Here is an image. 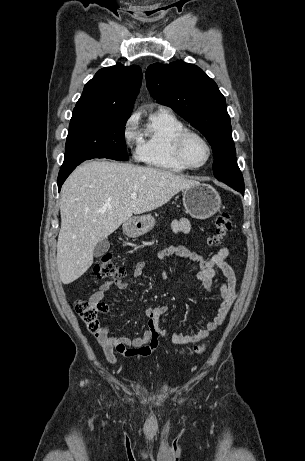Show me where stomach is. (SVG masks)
<instances>
[{"label":"stomach","mask_w":305,"mask_h":461,"mask_svg":"<svg viewBox=\"0 0 305 461\" xmlns=\"http://www.w3.org/2000/svg\"><path fill=\"white\" fill-rule=\"evenodd\" d=\"M183 206L186 212L196 219H207L220 210L219 193L208 184H197L182 191ZM155 224L151 215L134 217L123 225L128 237H138L150 231Z\"/></svg>","instance_id":"1"}]
</instances>
